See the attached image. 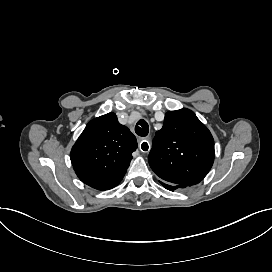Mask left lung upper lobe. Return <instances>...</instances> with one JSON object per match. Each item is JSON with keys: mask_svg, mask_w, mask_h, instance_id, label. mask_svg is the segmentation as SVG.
<instances>
[{"mask_svg": "<svg viewBox=\"0 0 272 272\" xmlns=\"http://www.w3.org/2000/svg\"><path fill=\"white\" fill-rule=\"evenodd\" d=\"M214 155L210 131L193 111L183 108L166 113L148 161L161 181L186 188L203 180Z\"/></svg>", "mask_w": 272, "mask_h": 272, "instance_id": "left-lung-upper-lobe-1", "label": "left lung upper lobe"}]
</instances>
